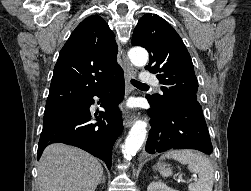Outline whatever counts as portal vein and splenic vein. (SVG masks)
I'll return each mask as SVG.
<instances>
[{"label": "portal vein and splenic vein", "instance_id": "1", "mask_svg": "<svg viewBox=\"0 0 251 191\" xmlns=\"http://www.w3.org/2000/svg\"><path fill=\"white\" fill-rule=\"evenodd\" d=\"M177 181H183V179H177ZM191 181V179H190ZM192 181H195V178H192Z\"/></svg>", "mask_w": 251, "mask_h": 191}]
</instances>
